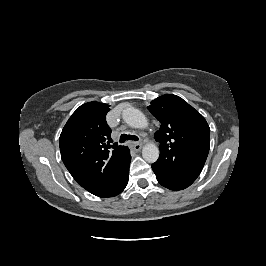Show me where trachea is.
Wrapping results in <instances>:
<instances>
[{
	"label": "trachea",
	"mask_w": 266,
	"mask_h": 266,
	"mask_svg": "<svg viewBox=\"0 0 266 266\" xmlns=\"http://www.w3.org/2000/svg\"><path fill=\"white\" fill-rule=\"evenodd\" d=\"M127 140H133V141H138L139 138L136 135H130V134H122L120 136V143H124Z\"/></svg>",
	"instance_id": "trachea-1"
}]
</instances>
